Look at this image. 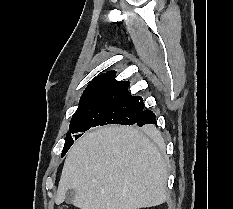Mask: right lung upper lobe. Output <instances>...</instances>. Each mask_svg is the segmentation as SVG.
Wrapping results in <instances>:
<instances>
[{
  "label": "right lung upper lobe",
  "instance_id": "right-lung-upper-lobe-1",
  "mask_svg": "<svg viewBox=\"0 0 233 209\" xmlns=\"http://www.w3.org/2000/svg\"><path fill=\"white\" fill-rule=\"evenodd\" d=\"M115 74L111 71L94 78L85 89L79 107L102 102L143 103L140 96H132L128 91L130 83L116 81Z\"/></svg>",
  "mask_w": 233,
  "mask_h": 209
}]
</instances>
